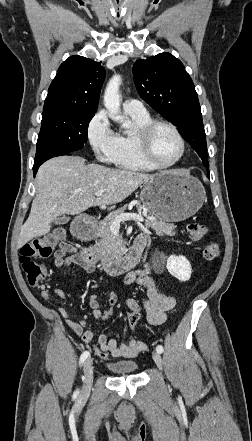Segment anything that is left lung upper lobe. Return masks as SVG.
<instances>
[{"label":"left lung upper lobe","mask_w":252,"mask_h":441,"mask_svg":"<svg viewBox=\"0 0 252 441\" xmlns=\"http://www.w3.org/2000/svg\"><path fill=\"white\" fill-rule=\"evenodd\" d=\"M133 75L141 98L180 130L181 136L209 167L198 96L181 61L170 53H160L136 61Z\"/></svg>","instance_id":"1"}]
</instances>
